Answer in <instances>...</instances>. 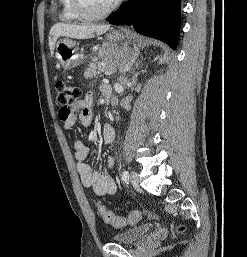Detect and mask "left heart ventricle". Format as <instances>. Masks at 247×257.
Wrapping results in <instances>:
<instances>
[{"label":"left heart ventricle","mask_w":247,"mask_h":257,"mask_svg":"<svg viewBox=\"0 0 247 257\" xmlns=\"http://www.w3.org/2000/svg\"><path fill=\"white\" fill-rule=\"evenodd\" d=\"M115 0H85L87 8L91 12H100L106 9Z\"/></svg>","instance_id":"obj_1"}]
</instances>
